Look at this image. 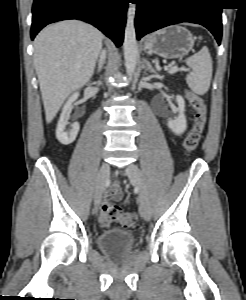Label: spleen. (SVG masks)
I'll use <instances>...</instances> for the list:
<instances>
[{"mask_svg":"<svg viewBox=\"0 0 246 300\" xmlns=\"http://www.w3.org/2000/svg\"><path fill=\"white\" fill-rule=\"evenodd\" d=\"M186 64L192 73L186 76L189 88L198 95H204L210 88L212 79V58L207 47L189 57Z\"/></svg>","mask_w":246,"mask_h":300,"instance_id":"3e777b00","label":"spleen"}]
</instances>
